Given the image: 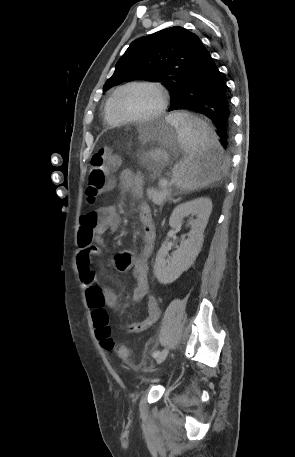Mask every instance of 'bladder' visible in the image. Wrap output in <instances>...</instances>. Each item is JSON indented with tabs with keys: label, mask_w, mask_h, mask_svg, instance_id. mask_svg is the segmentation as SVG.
Here are the masks:
<instances>
[{
	"label": "bladder",
	"mask_w": 295,
	"mask_h": 457,
	"mask_svg": "<svg viewBox=\"0 0 295 457\" xmlns=\"http://www.w3.org/2000/svg\"><path fill=\"white\" fill-rule=\"evenodd\" d=\"M143 366H147V363H143Z\"/></svg>",
	"instance_id": "obj_1"
}]
</instances>
